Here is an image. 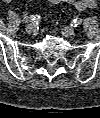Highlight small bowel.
I'll return each instance as SVG.
<instances>
[{
	"label": "small bowel",
	"mask_w": 100,
	"mask_h": 118,
	"mask_svg": "<svg viewBox=\"0 0 100 118\" xmlns=\"http://www.w3.org/2000/svg\"><path fill=\"white\" fill-rule=\"evenodd\" d=\"M1 1L4 3H9L12 0H1ZM48 1L53 4L66 3L74 6L78 11L94 9L97 7L96 0H48Z\"/></svg>",
	"instance_id": "small-bowel-1"
}]
</instances>
